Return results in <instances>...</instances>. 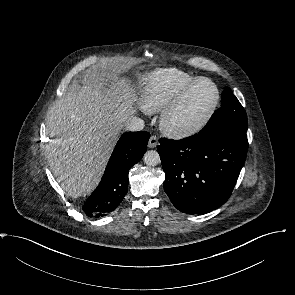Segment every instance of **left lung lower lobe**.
Listing matches in <instances>:
<instances>
[{
    "label": "left lung lower lobe",
    "instance_id": "obj_1",
    "mask_svg": "<svg viewBox=\"0 0 295 295\" xmlns=\"http://www.w3.org/2000/svg\"><path fill=\"white\" fill-rule=\"evenodd\" d=\"M159 142L164 190L178 210L205 214L228 200L246 160L247 135L213 129Z\"/></svg>",
    "mask_w": 295,
    "mask_h": 295
}]
</instances>
